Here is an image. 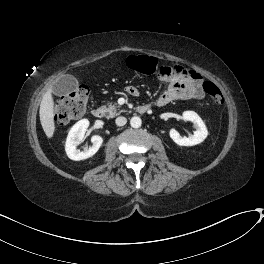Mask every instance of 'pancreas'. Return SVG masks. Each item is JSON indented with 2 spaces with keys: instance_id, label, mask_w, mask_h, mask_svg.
<instances>
[{
  "instance_id": "1",
  "label": "pancreas",
  "mask_w": 264,
  "mask_h": 264,
  "mask_svg": "<svg viewBox=\"0 0 264 264\" xmlns=\"http://www.w3.org/2000/svg\"><path fill=\"white\" fill-rule=\"evenodd\" d=\"M102 109L107 118H113L123 112L122 110H118L117 104H109L108 106H103Z\"/></svg>"
}]
</instances>
